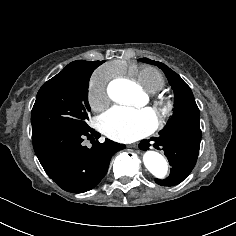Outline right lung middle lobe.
I'll list each match as a JSON object with an SVG mask.
<instances>
[{
  "label": "right lung middle lobe",
  "instance_id": "1",
  "mask_svg": "<svg viewBox=\"0 0 236 236\" xmlns=\"http://www.w3.org/2000/svg\"><path fill=\"white\" fill-rule=\"evenodd\" d=\"M93 70H62L40 88L31 112L32 134L60 127H88V83Z\"/></svg>",
  "mask_w": 236,
  "mask_h": 236
}]
</instances>
